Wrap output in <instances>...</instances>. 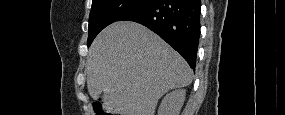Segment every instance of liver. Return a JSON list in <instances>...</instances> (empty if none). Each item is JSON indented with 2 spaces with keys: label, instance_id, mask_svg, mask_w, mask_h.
<instances>
[{
  "label": "liver",
  "instance_id": "6515ba94",
  "mask_svg": "<svg viewBox=\"0 0 285 115\" xmlns=\"http://www.w3.org/2000/svg\"><path fill=\"white\" fill-rule=\"evenodd\" d=\"M87 88L103 109L118 115H154L169 90L188 86L193 71L158 35L124 21L93 41L86 63ZM101 94H103L101 96Z\"/></svg>",
  "mask_w": 285,
  "mask_h": 115
}]
</instances>
